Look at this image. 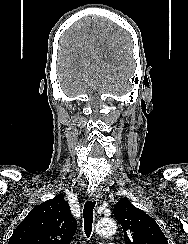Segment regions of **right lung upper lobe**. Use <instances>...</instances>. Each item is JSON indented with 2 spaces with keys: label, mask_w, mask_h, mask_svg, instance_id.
I'll list each match as a JSON object with an SVG mask.
<instances>
[{
  "label": "right lung upper lobe",
  "mask_w": 188,
  "mask_h": 244,
  "mask_svg": "<svg viewBox=\"0 0 188 244\" xmlns=\"http://www.w3.org/2000/svg\"><path fill=\"white\" fill-rule=\"evenodd\" d=\"M77 221L68 202L56 195L34 207L14 230L9 244H69Z\"/></svg>",
  "instance_id": "obj_1"
}]
</instances>
